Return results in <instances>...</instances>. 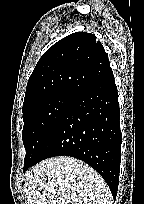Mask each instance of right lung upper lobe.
<instances>
[{
  "instance_id": "right-lung-upper-lobe-1",
  "label": "right lung upper lobe",
  "mask_w": 144,
  "mask_h": 204,
  "mask_svg": "<svg viewBox=\"0 0 144 204\" xmlns=\"http://www.w3.org/2000/svg\"><path fill=\"white\" fill-rule=\"evenodd\" d=\"M111 75L108 56L95 35L73 33L38 61L27 84L23 110L56 94L76 95Z\"/></svg>"
}]
</instances>
